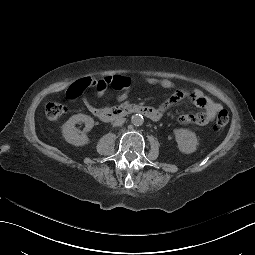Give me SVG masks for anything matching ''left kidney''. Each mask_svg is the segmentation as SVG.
<instances>
[{
    "instance_id": "5707ae66",
    "label": "left kidney",
    "mask_w": 255,
    "mask_h": 255,
    "mask_svg": "<svg viewBox=\"0 0 255 255\" xmlns=\"http://www.w3.org/2000/svg\"><path fill=\"white\" fill-rule=\"evenodd\" d=\"M174 136L178 143V149L181 153L191 154L197 150L199 143L196 134L193 131L185 128L175 129Z\"/></svg>"
}]
</instances>
